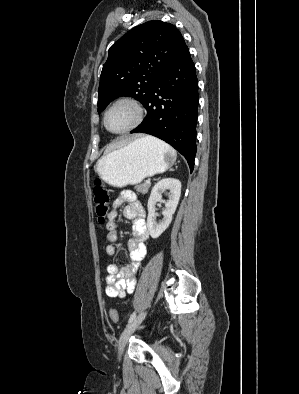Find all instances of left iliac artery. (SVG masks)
<instances>
[{"mask_svg": "<svg viewBox=\"0 0 299 394\" xmlns=\"http://www.w3.org/2000/svg\"><path fill=\"white\" fill-rule=\"evenodd\" d=\"M136 317V313L133 312L129 318V323Z\"/></svg>", "mask_w": 299, "mask_h": 394, "instance_id": "obj_1", "label": "left iliac artery"}]
</instances>
